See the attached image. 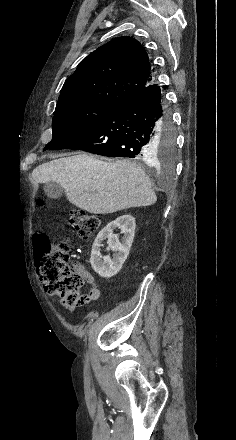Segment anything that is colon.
I'll list each match as a JSON object with an SVG mask.
<instances>
[{
    "mask_svg": "<svg viewBox=\"0 0 236 440\" xmlns=\"http://www.w3.org/2000/svg\"><path fill=\"white\" fill-rule=\"evenodd\" d=\"M68 222L72 233L87 237L99 227V218L80 209L68 213ZM36 248L37 272L48 294L59 298L62 305L73 310L85 303L80 291L84 285V276L75 264L70 263V243L60 241L51 245L41 233L33 236Z\"/></svg>",
    "mask_w": 236,
    "mask_h": 440,
    "instance_id": "5ec220e1",
    "label": "colon"
}]
</instances>
